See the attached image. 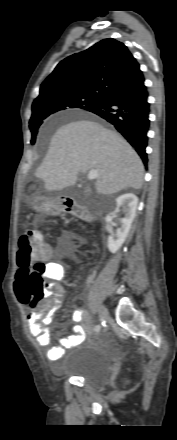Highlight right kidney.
Returning <instances> with one entry per match:
<instances>
[{
  "label": "right kidney",
  "instance_id": "right-kidney-1",
  "mask_svg": "<svg viewBox=\"0 0 177 440\" xmlns=\"http://www.w3.org/2000/svg\"><path fill=\"white\" fill-rule=\"evenodd\" d=\"M137 204L138 198L136 195H134L133 193H125L115 200L114 211L110 215L106 216V230L109 231V223L116 216V212L121 209L124 213V217L120 219L121 227L117 229L116 232L117 239L114 240L112 236L108 237L107 246L111 253H116L124 243L130 231L131 224L135 218Z\"/></svg>",
  "mask_w": 177,
  "mask_h": 440
}]
</instances>
